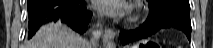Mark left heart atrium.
<instances>
[{
	"mask_svg": "<svg viewBox=\"0 0 213 48\" xmlns=\"http://www.w3.org/2000/svg\"><path fill=\"white\" fill-rule=\"evenodd\" d=\"M93 7L105 15L123 16L128 8L123 0H96Z\"/></svg>",
	"mask_w": 213,
	"mask_h": 48,
	"instance_id": "obj_1",
	"label": "left heart atrium"
}]
</instances>
